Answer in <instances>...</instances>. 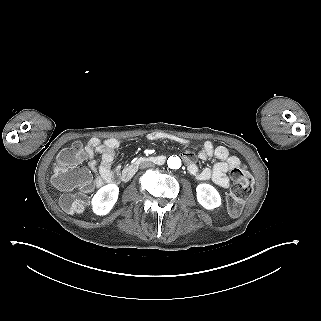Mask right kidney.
<instances>
[{"instance_id": "ca27d5eb", "label": "right kidney", "mask_w": 321, "mask_h": 321, "mask_svg": "<svg viewBox=\"0 0 321 321\" xmlns=\"http://www.w3.org/2000/svg\"><path fill=\"white\" fill-rule=\"evenodd\" d=\"M119 188L115 184L101 187L92 198L93 212L97 215H106L113 208L118 199Z\"/></svg>"}]
</instances>
